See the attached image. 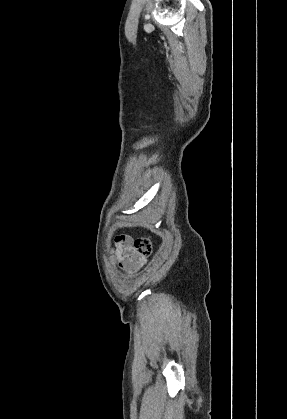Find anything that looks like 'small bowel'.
<instances>
[{
  "instance_id": "c3829d8e",
  "label": "small bowel",
  "mask_w": 287,
  "mask_h": 419,
  "mask_svg": "<svg viewBox=\"0 0 287 419\" xmlns=\"http://www.w3.org/2000/svg\"><path fill=\"white\" fill-rule=\"evenodd\" d=\"M110 261L128 276H132L143 265V259L131 246L130 237L125 235L115 238V249Z\"/></svg>"
}]
</instances>
